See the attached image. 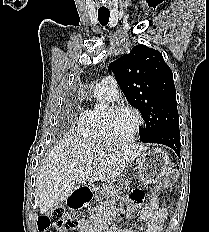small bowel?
<instances>
[{"label": "small bowel", "instance_id": "obj_1", "mask_svg": "<svg viewBox=\"0 0 209 232\" xmlns=\"http://www.w3.org/2000/svg\"><path fill=\"white\" fill-rule=\"evenodd\" d=\"M147 198L146 185H133V190L128 191V199L130 200L127 213H131L133 208L144 205L140 213L141 219L147 223L144 229L133 231L115 229L110 232H162L163 222L167 217V211L165 208L160 207L156 197H152L148 203H146ZM114 216L115 211L112 207H108L104 216L96 219L95 226L105 228L106 220ZM80 230L81 232H95V227L88 221H82L80 223Z\"/></svg>", "mask_w": 209, "mask_h": 232}]
</instances>
